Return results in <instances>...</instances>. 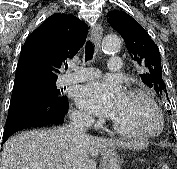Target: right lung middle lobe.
<instances>
[{
  "instance_id": "dd1d6c3e",
  "label": "right lung middle lobe",
  "mask_w": 177,
  "mask_h": 169,
  "mask_svg": "<svg viewBox=\"0 0 177 169\" xmlns=\"http://www.w3.org/2000/svg\"><path fill=\"white\" fill-rule=\"evenodd\" d=\"M38 90L54 101H62L64 97L61 95V91L57 89L55 81L46 82L45 84L41 85Z\"/></svg>"
}]
</instances>
